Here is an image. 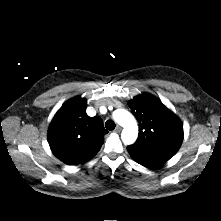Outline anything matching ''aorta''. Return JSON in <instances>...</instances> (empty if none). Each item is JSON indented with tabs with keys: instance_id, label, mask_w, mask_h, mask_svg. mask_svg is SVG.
I'll use <instances>...</instances> for the list:
<instances>
[{
	"instance_id": "1",
	"label": "aorta",
	"mask_w": 221,
	"mask_h": 221,
	"mask_svg": "<svg viewBox=\"0 0 221 221\" xmlns=\"http://www.w3.org/2000/svg\"><path fill=\"white\" fill-rule=\"evenodd\" d=\"M114 120L123 127L121 139L124 144H133L138 136V126L133 115L125 109H117L113 113Z\"/></svg>"
}]
</instances>
